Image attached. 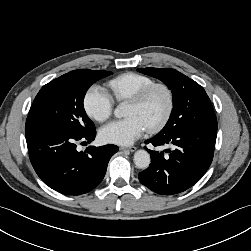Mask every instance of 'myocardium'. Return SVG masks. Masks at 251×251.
I'll use <instances>...</instances> for the list:
<instances>
[{"mask_svg": "<svg viewBox=\"0 0 251 251\" xmlns=\"http://www.w3.org/2000/svg\"><path fill=\"white\" fill-rule=\"evenodd\" d=\"M155 90H162L165 93L167 99V105L161 118L156 123L147 128L150 133H154L162 129L170 119L174 109V94L172 89L165 83H153L145 87L144 89H142L136 95H134L132 98L129 99V102L133 104L142 105L147 101L149 96Z\"/></svg>", "mask_w": 251, "mask_h": 251, "instance_id": "myocardium-1", "label": "myocardium"}]
</instances>
